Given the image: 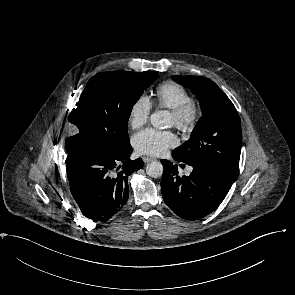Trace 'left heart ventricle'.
Listing matches in <instances>:
<instances>
[{
	"instance_id": "left-heart-ventricle-1",
	"label": "left heart ventricle",
	"mask_w": 295,
	"mask_h": 295,
	"mask_svg": "<svg viewBox=\"0 0 295 295\" xmlns=\"http://www.w3.org/2000/svg\"><path fill=\"white\" fill-rule=\"evenodd\" d=\"M170 122L171 124H174V117L171 115V118H170Z\"/></svg>"
}]
</instances>
